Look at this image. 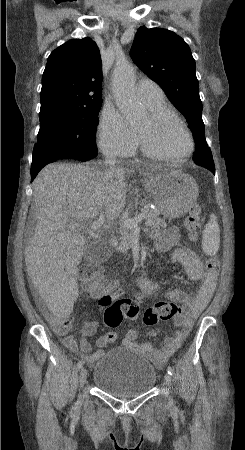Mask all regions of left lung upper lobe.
<instances>
[{"mask_svg":"<svg viewBox=\"0 0 245 450\" xmlns=\"http://www.w3.org/2000/svg\"><path fill=\"white\" fill-rule=\"evenodd\" d=\"M130 55L134 63L160 85L186 117L193 132L195 147L208 146L201 117L202 102L195 60L188 44L172 31L142 26L136 33ZM212 158V154H207L196 159L193 157V160L196 164L205 165Z\"/></svg>","mask_w":245,"mask_h":450,"instance_id":"obj_1","label":"left lung upper lobe"}]
</instances>
